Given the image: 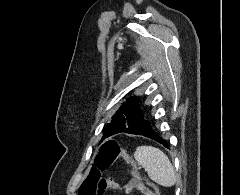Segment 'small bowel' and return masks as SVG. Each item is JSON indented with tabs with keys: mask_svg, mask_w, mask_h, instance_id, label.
Wrapping results in <instances>:
<instances>
[{
	"mask_svg": "<svg viewBox=\"0 0 240 195\" xmlns=\"http://www.w3.org/2000/svg\"><path fill=\"white\" fill-rule=\"evenodd\" d=\"M138 177L131 178L121 189L124 191L125 195H130L132 192H139L140 195H149L148 186H143V182L137 181Z\"/></svg>",
	"mask_w": 240,
	"mask_h": 195,
	"instance_id": "1",
	"label": "small bowel"
}]
</instances>
